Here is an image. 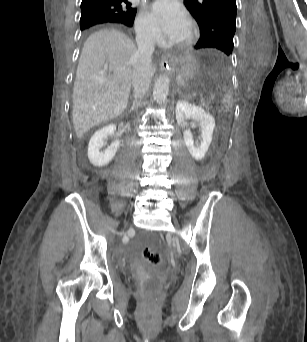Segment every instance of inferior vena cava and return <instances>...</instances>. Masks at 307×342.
Instances as JSON below:
<instances>
[{
    "instance_id": "1",
    "label": "inferior vena cava",
    "mask_w": 307,
    "mask_h": 342,
    "mask_svg": "<svg viewBox=\"0 0 307 342\" xmlns=\"http://www.w3.org/2000/svg\"><path fill=\"white\" fill-rule=\"evenodd\" d=\"M136 42L138 50L133 56L132 88L135 98L142 100L149 90L151 78L155 74L152 68L151 56L155 50V38L151 34H137Z\"/></svg>"
}]
</instances>
